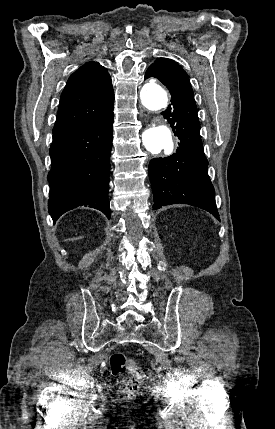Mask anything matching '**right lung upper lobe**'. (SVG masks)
Returning <instances> with one entry per match:
<instances>
[{"label": "right lung upper lobe", "mask_w": 275, "mask_h": 429, "mask_svg": "<svg viewBox=\"0 0 275 429\" xmlns=\"http://www.w3.org/2000/svg\"><path fill=\"white\" fill-rule=\"evenodd\" d=\"M113 94L107 70L97 62L84 64L67 81L52 132L107 118L113 113Z\"/></svg>", "instance_id": "obj_1"}]
</instances>
